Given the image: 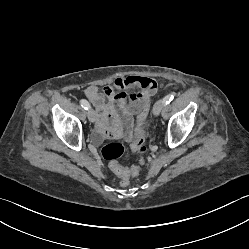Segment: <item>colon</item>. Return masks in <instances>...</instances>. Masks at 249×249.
<instances>
[{"instance_id":"obj_1","label":"colon","mask_w":249,"mask_h":249,"mask_svg":"<svg viewBox=\"0 0 249 249\" xmlns=\"http://www.w3.org/2000/svg\"><path fill=\"white\" fill-rule=\"evenodd\" d=\"M157 87L156 82H153L151 85V89H155ZM145 117V112H142L139 116V121L141 122L142 119ZM131 148L134 152L139 154H144L147 150L145 145V136L142 132H139L137 136L134 138L131 144ZM125 151V147L123 144L119 142H112L105 145L102 150V156L104 159L109 161L110 169L116 173L120 177V184L122 186H127L129 183L130 176H137L140 173V166L134 165L130 168L122 167L118 162L117 159L123 155ZM143 160H141V164Z\"/></svg>"}]
</instances>
